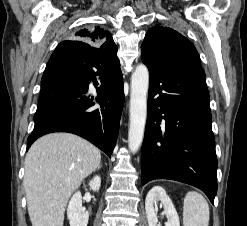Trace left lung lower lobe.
I'll return each instance as SVG.
<instances>
[{
  "label": "left lung lower lobe",
  "mask_w": 247,
  "mask_h": 226,
  "mask_svg": "<svg viewBox=\"0 0 247 226\" xmlns=\"http://www.w3.org/2000/svg\"><path fill=\"white\" fill-rule=\"evenodd\" d=\"M150 73L141 183L170 179L201 189L214 204L217 158L201 65L167 68L142 57Z\"/></svg>",
  "instance_id": "0a47b994"
}]
</instances>
